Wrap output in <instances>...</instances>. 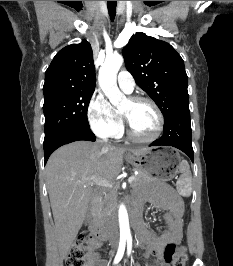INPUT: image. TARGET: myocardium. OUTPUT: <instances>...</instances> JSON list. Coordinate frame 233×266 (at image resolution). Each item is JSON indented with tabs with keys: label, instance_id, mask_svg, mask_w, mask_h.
Instances as JSON below:
<instances>
[{
	"label": "myocardium",
	"instance_id": "f54148a6",
	"mask_svg": "<svg viewBox=\"0 0 233 266\" xmlns=\"http://www.w3.org/2000/svg\"><path fill=\"white\" fill-rule=\"evenodd\" d=\"M128 100L134 104H136V103H148V104H150L154 108V110L157 114V119H158L156 131L152 136L139 137L133 132L127 116L121 111V115H122L124 123H125L126 133H127V136L129 137V139H131L132 141L137 142V143H151V142L156 141L161 136L163 129H164V115H163L160 107L158 106V104L154 100H152L151 98L144 97V96H133V97H130Z\"/></svg>",
	"mask_w": 233,
	"mask_h": 266
}]
</instances>
